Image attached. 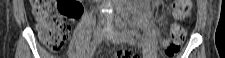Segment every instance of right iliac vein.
Wrapping results in <instances>:
<instances>
[{
  "mask_svg": "<svg viewBox=\"0 0 225 58\" xmlns=\"http://www.w3.org/2000/svg\"><path fill=\"white\" fill-rule=\"evenodd\" d=\"M100 39H101V28L100 26H98L94 32L92 42H91L94 49H96L97 46L99 45Z\"/></svg>",
  "mask_w": 225,
  "mask_h": 58,
  "instance_id": "obj_1",
  "label": "right iliac vein"
}]
</instances>
